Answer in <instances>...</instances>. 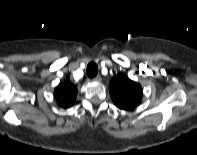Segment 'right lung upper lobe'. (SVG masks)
<instances>
[{"label": "right lung upper lobe", "instance_id": "cb5924a9", "mask_svg": "<svg viewBox=\"0 0 197 155\" xmlns=\"http://www.w3.org/2000/svg\"><path fill=\"white\" fill-rule=\"evenodd\" d=\"M76 94V86L69 82H64L60 84L54 91L55 99L57 100L58 104L63 108H69L74 104Z\"/></svg>", "mask_w": 197, "mask_h": 155}]
</instances>
